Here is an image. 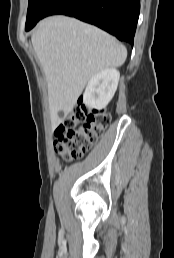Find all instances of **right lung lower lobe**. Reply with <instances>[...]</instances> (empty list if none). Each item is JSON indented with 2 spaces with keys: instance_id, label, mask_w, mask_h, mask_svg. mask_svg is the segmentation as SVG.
I'll return each mask as SVG.
<instances>
[{
  "instance_id": "98d812e1",
  "label": "right lung lower lobe",
  "mask_w": 174,
  "mask_h": 258,
  "mask_svg": "<svg viewBox=\"0 0 174 258\" xmlns=\"http://www.w3.org/2000/svg\"><path fill=\"white\" fill-rule=\"evenodd\" d=\"M140 11V0H56L44 17L63 14L116 36L133 45Z\"/></svg>"
}]
</instances>
